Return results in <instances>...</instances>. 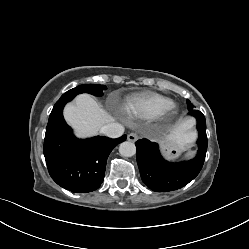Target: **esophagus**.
<instances>
[{
    "label": "esophagus",
    "mask_w": 249,
    "mask_h": 249,
    "mask_svg": "<svg viewBox=\"0 0 249 249\" xmlns=\"http://www.w3.org/2000/svg\"><path fill=\"white\" fill-rule=\"evenodd\" d=\"M128 140L131 141V142H135L138 140L139 136L136 132H131L129 135H128Z\"/></svg>",
    "instance_id": "obj_1"
}]
</instances>
